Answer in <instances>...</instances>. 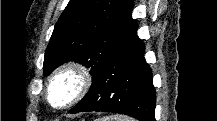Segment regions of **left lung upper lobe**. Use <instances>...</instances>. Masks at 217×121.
Instances as JSON below:
<instances>
[{
  "mask_svg": "<svg viewBox=\"0 0 217 121\" xmlns=\"http://www.w3.org/2000/svg\"><path fill=\"white\" fill-rule=\"evenodd\" d=\"M132 0H70L45 51L44 75L67 61H79L94 79L134 24Z\"/></svg>",
  "mask_w": 217,
  "mask_h": 121,
  "instance_id": "1",
  "label": "left lung upper lobe"
}]
</instances>
